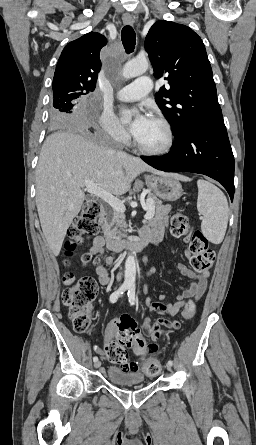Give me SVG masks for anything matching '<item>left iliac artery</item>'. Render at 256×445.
<instances>
[{"instance_id":"obj_1","label":"left iliac artery","mask_w":256,"mask_h":445,"mask_svg":"<svg viewBox=\"0 0 256 445\" xmlns=\"http://www.w3.org/2000/svg\"><path fill=\"white\" fill-rule=\"evenodd\" d=\"M128 299H129V303L131 305L135 304V286L134 285H130L128 288ZM167 365L172 366L173 362L171 360H169L167 362Z\"/></svg>"}]
</instances>
